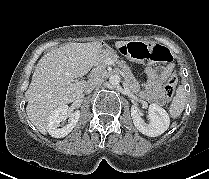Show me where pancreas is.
<instances>
[{"label":"pancreas","instance_id":"pancreas-1","mask_svg":"<svg viewBox=\"0 0 209 179\" xmlns=\"http://www.w3.org/2000/svg\"><path fill=\"white\" fill-rule=\"evenodd\" d=\"M108 57L111 58L119 66L120 73L123 75V78L130 90L134 93H138L140 91L139 82L135 79L126 63L120 60L113 51H106L105 56L100 58L99 62L96 64V68L92 73L93 77L104 78L107 76L108 72L106 71L105 59Z\"/></svg>","mask_w":209,"mask_h":179}]
</instances>
